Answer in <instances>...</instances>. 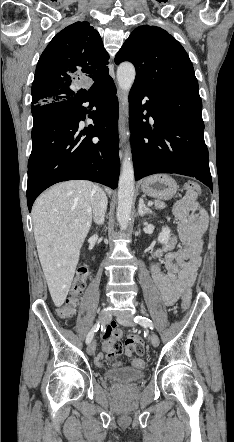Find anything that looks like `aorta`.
<instances>
[{"instance_id": "1", "label": "aorta", "mask_w": 234, "mask_h": 442, "mask_svg": "<svg viewBox=\"0 0 234 442\" xmlns=\"http://www.w3.org/2000/svg\"><path fill=\"white\" fill-rule=\"evenodd\" d=\"M136 71L133 64L129 62L121 63L117 69V81L122 91L123 105L126 107L128 115V93L134 83ZM129 135V132H127ZM134 168L131 159L130 147H127L122 163L121 174L118 184V206L117 220L120 227L126 230L130 221L132 201L134 195Z\"/></svg>"}]
</instances>
